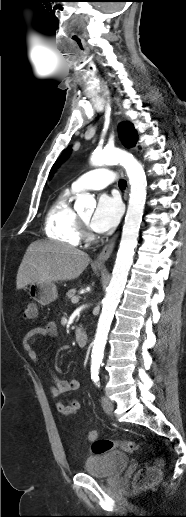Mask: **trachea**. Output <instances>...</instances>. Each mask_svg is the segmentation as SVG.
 Listing matches in <instances>:
<instances>
[{
	"mask_svg": "<svg viewBox=\"0 0 186 517\" xmlns=\"http://www.w3.org/2000/svg\"><path fill=\"white\" fill-rule=\"evenodd\" d=\"M118 185H119L120 188L124 189V188H126V181L121 179L119 181Z\"/></svg>",
	"mask_w": 186,
	"mask_h": 517,
	"instance_id": "trachea-1",
	"label": "trachea"
}]
</instances>
